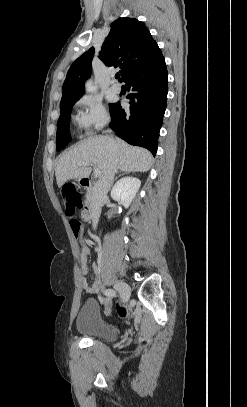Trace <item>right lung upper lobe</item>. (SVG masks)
<instances>
[{"mask_svg": "<svg viewBox=\"0 0 247 407\" xmlns=\"http://www.w3.org/2000/svg\"><path fill=\"white\" fill-rule=\"evenodd\" d=\"M94 48L91 47L70 67L62 88L63 104L84 94V82L90 75ZM162 57L160 48L145 24L135 18H118L111 25L100 52L107 66L119 67L123 81L135 69Z\"/></svg>", "mask_w": 247, "mask_h": 407, "instance_id": "cb5924a9", "label": "right lung upper lobe"}]
</instances>
